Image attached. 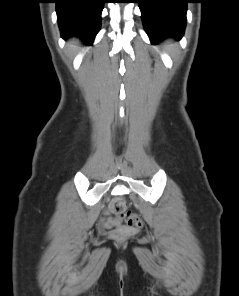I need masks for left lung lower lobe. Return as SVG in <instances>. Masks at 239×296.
<instances>
[{"label": "left lung lower lobe", "instance_id": "obj_1", "mask_svg": "<svg viewBox=\"0 0 239 296\" xmlns=\"http://www.w3.org/2000/svg\"><path fill=\"white\" fill-rule=\"evenodd\" d=\"M137 3L152 43L168 37L180 39L183 36L189 0H137Z\"/></svg>", "mask_w": 239, "mask_h": 296}]
</instances>
